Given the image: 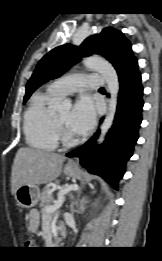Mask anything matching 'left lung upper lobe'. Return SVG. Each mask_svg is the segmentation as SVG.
Segmentation results:
<instances>
[{
    "label": "left lung upper lobe",
    "instance_id": "obj_1",
    "mask_svg": "<svg viewBox=\"0 0 162 261\" xmlns=\"http://www.w3.org/2000/svg\"><path fill=\"white\" fill-rule=\"evenodd\" d=\"M92 54H102L112 63L117 73L137 60L132 53L130 42L122 32L111 27L104 28L100 34L86 38L79 47L65 44L47 53L39 61L27 83L24 103L40 85L58 78L80 61L81 57Z\"/></svg>",
    "mask_w": 162,
    "mask_h": 261
}]
</instances>
